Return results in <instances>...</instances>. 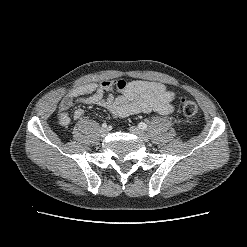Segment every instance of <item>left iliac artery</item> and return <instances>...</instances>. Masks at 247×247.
Listing matches in <instances>:
<instances>
[{
  "label": "left iliac artery",
  "instance_id": "left-iliac-artery-1",
  "mask_svg": "<svg viewBox=\"0 0 247 247\" xmlns=\"http://www.w3.org/2000/svg\"><path fill=\"white\" fill-rule=\"evenodd\" d=\"M138 127H139L140 129H142V130H146V129H147V125H146L144 122H140V123L138 124Z\"/></svg>",
  "mask_w": 247,
  "mask_h": 247
}]
</instances>
